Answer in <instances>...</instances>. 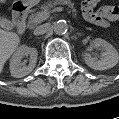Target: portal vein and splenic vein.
Listing matches in <instances>:
<instances>
[{
  "label": "portal vein and splenic vein",
  "instance_id": "portal-vein-and-splenic-vein-1",
  "mask_svg": "<svg viewBox=\"0 0 119 119\" xmlns=\"http://www.w3.org/2000/svg\"><path fill=\"white\" fill-rule=\"evenodd\" d=\"M54 11L62 12V11H64V9L62 7H57L54 9ZM48 17H49V13L41 12L36 16V20L41 22V21L46 20Z\"/></svg>",
  "mask_w": 119,
  "mask_h": 119
}]
</instances>
